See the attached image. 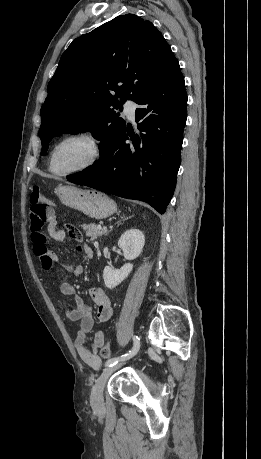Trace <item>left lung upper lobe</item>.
<instances>
[{
    "label": "left lung upper lobe",
    "instance_id": "1",
    "mask_svg": "<svg viewBox=\"0 0 261 459\" xmlns=\"http://www.w3.org/2000/svg\"><path fill=\"white\" fill-rule=\"evenodd\" d=\"M176 61L154 25L133 14L76 38L63 53L41 108L42 155L54 136L90 131L102 142V160L126 127L114 109L139 99Z\"/></svg>",
    "mask_w": 261,
    "mask_h": 459
}]
</instances>
